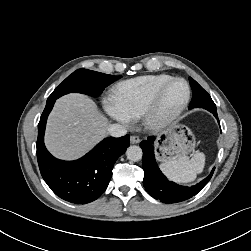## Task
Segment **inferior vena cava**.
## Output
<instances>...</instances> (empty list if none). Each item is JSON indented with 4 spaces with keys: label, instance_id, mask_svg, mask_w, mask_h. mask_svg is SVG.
<instances>
[{
    "label": "inferior vena cava",
    "instance_id": "inferior-vena-cava-1",
    "mask_svg": "<svg viewBox=\"0 0 251 251\" xmlns=\"http://www.w3.org/2000/svg\"><path fill=\"white\" fill-rule=\"evenodd\" d=\"M108 134L112 137H121L127 134V130L123 125L111 124L108 127Z\"/></svg>",
    "mask_w": 251,
    "mask_h": 251
}]
</instances>
